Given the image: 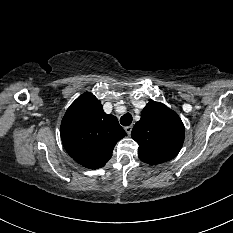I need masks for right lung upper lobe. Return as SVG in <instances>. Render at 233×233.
<instances>
[{"mask_svg":"<svg viewBox=\"0 0 233 233\" xmlns=\"http://www.w3.org/2000/svg\"><path fill=\"white\" fill-rule=\"evenodd\" d=\"M127 134L113 115L89 92L78 97L61 122V139L67 153L89 169L103 167L116 143Z\"/></svg>","mask_w":233,"mask_h":233,"instance_id":"obj_1","label":"right lung upper lobe"}]
</instances>
